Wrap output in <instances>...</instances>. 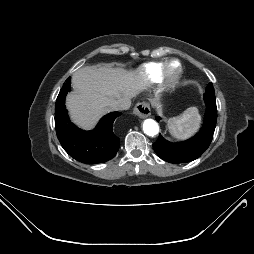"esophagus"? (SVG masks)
Wrapping results in <instances>:
<instances>
[{"label":"esophagus","mask_w":254,"mask_h":254,"mask_svg":"<svg viewBox=\"0 0 254 254\" xmlns=\"http://www.w3.org/2000/svg\"><path fill=\"white\" fill-rule=\"evenodd\" d=\"M134 114L140 118H147L151 114L150 106L147 102H139L134 107Z\"/></svg>","instance_id":"1"}]
</instances>
